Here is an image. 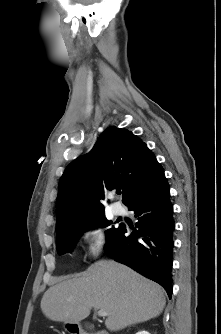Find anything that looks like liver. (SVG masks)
I'll use <instances>...</instances> for the list:
<instances>
[{
	"mask_svg": "<svg viewBox=\"0 0 221 334\" xmlns=\"http://www.w3.org/2000/svg\"><path fill=\"white\" fill-rule=\"evenodd\" d=\"M166 304L162 288L131 268L100 260L71 279L50 287L41 300L42 313L53 321L79 323L91 308L108 315L105 326L119 331L159 316Z\"/></svg>",
	"mask_w": 221,
	"mask_h": 334,
	"instance_id": "obj_1",
	"label": "liver"
}]
</instances>
